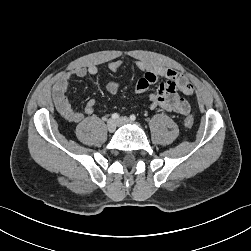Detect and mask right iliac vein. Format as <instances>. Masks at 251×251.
<instances>
[{
	"instance_id": "63e3f726",
	"label": "right iliac vein",
	"mask_w": 251,
	"mask_h": 251,
	"mask_svg": "<svg viewBox=\"0 0 251 251\" xmlns=\"http://www.w3.org/2000/svg\"><path fill=\"white\" fill-rule=\"evenodd\" d=\"M117 125H118V123L116 120L110 119L107 122V130L112 133L116 130Z\"/></svg>"
}]
</instances>
